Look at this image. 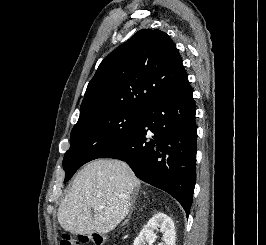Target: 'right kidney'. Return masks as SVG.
<instances>
[{
    "mask_svg": "<svg viewBox=\"0 0 266 245\" xmlns=\"http://www.w3.org/2000/svg\"><path fill=\"white\" fill-rule=\"evenodd\" d=\"M155 231L163 233L164 243L160 245H175L176 233L172 219L164 215V213H156L152 219L148 221L138 237H136L133 245H153L157 237Z\"/></svg>",
    "mask_w": 266,
    "mask_h": 245,
    "instance_id": "ca27d5eb",
    "label": "right kidney"
}]
</instances>
